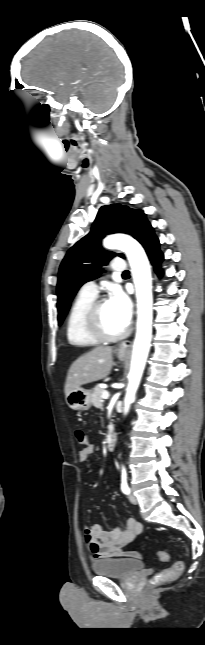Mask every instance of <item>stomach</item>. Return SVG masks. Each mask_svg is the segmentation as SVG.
Wrapping results in <instances>:
<instances>
[{"label": "stomach", "instance_id": "stomach-1", "mask_svg": "<svg viewBox=\"0 0 205 645\" xmlns=\"http://www.w3.org/2000/svg\"><path fill=\"white\" fill-rule=\"evenodd\" d=\"M118 358L124 360L126 358L125 354L118 353ZM66 404L68 407L78 411H87L92 405V393L89 390L84 388H77L72 390L65 397Z\"/></svg>", "mask_w": 205, "mask_h": 645}]
</instances>
